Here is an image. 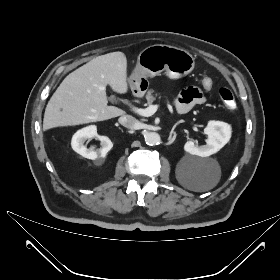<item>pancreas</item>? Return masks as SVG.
Segmentation results:
<instances>
[{
	"instance_id": "pancreas-1",
	"label": "pancreas",
	"mask_w": 280,
	"mask_h": 280,
	"mask_svg": "<svg viewBox=\"0 0 280 280\" xmlns=\"http://www.w3.org/2000/svg\"><path fill=\"white\" fill-rule=\"evenodd\" d=\"M157 96V94H154V90H148L146 94V100L148 105H151L156 100Z\"/></svg>"
}]
</instances>
